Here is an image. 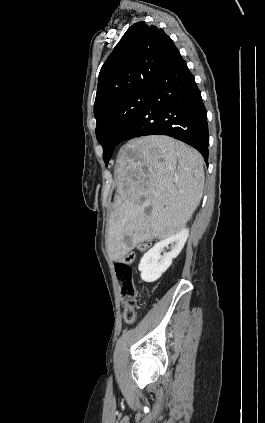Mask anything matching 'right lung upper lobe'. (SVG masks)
Segmentation results:
<instances>
[{
	"label": "right lung upper lobe",
	"mask_w": 265,
	"mask_h": 423,
	"mask_svg": "<svg viewBox=\"0 0 265 423\" xmlns=\"http://www.w3.org/2000/svg\"><path fill=\"white\" fill-rule=\"evenodd\" d=\"M178 53L162 29L145 22L133 24L101 68L95 118L120 99L151 89Z\"/></svg>",
	"instance_id": "cb5924a9"
}]
</instances>
